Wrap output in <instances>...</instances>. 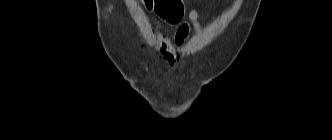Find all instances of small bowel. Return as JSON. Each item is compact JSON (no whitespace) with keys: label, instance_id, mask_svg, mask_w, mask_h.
I'll list each match as a JSON object with an SVG mask.
<instances>
[{"label":"small bowel","instance_id":"c3829d8e","mask_svg":"<svg viewBox=\"0 0 332 140\" xmlns=\"http://www.w3.org/2000/svg\"><path fill=\"white\" fill-rule=\"evenodd\" d=\"M189 22L180 23L182 18L173 24L180 23L176 29L173 38L164 37L162 39L161 51L165 56L167 63L171 66L177 65L180 61V50L191 30L198 34L202 33L199 15L196 6L193 5L188 12Z\"/></svg>","mask_w":332,"mask_h":140}]
</instances>
